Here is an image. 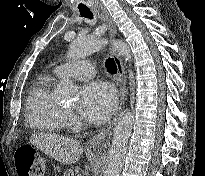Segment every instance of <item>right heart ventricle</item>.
<instances>
[{"label":"right heart ventricle","mask_w":205,"mask_h":176,"mask_svg":"<svg viewBox=\"0 0 205 176\" xmlns=\"http://www.w3.org/2000/svg\"><path fill=\"white\" fill-rule=\"evenodd\" d=\"M55 78L53 74L37 77L26 98L27 123L32 129L50 135L62 134L66 124L65 111L52 95Z\"/></svg>","instance_id":"e07e8e85"}]
</instances>
